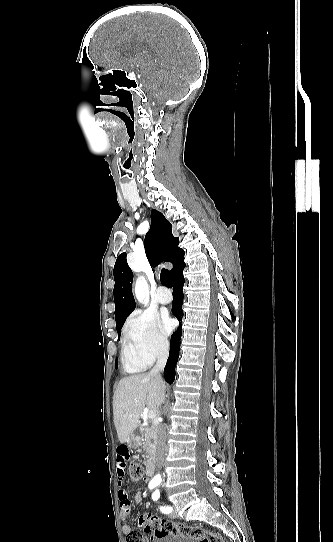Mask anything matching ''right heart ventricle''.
I'll use <instances>...</instances> for the list:
<instances>
[{
  "instance_id": "e07e8e85",
  "label": "right heart ventricle",
  "mask_w": 333,
  "mask_h": 542,
  "mask_svg": "<svg viewBox=\"0 0 333 542\" xmlns=\"http://www.w3.org/2000/svg\"><path fill=\"white\" fill-rule=\"evenodd\" d=\"M122 362L128 372H140L146 370L153 362V358L148 356L138 346L126 341L122 344Z\"/></svg>"
}]
</instances>
